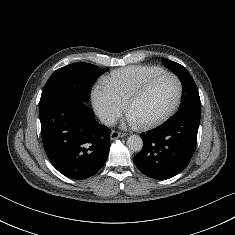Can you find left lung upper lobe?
I'll list each match as a JSON object with an SVG mask.
<instances>
[{"label":"left lung upper lobe","instance_id":"5c2ea615","mask_svg":"<svg viewBox=\"0 0 235 235\" xmlns=\"http://www.w3.org/2000/svg\"><path fill=\"white\" fill-rule=\"evenodd\" d=\"M163 63L180 79L183 87L182 103L176 115L194 112L201 114V102L198 88L190 73L182 65L165 59Z\"/></svg>","mask_w":235,"mask_h":235}]
</instances>
